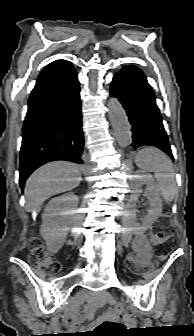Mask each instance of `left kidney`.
I'll use <instances>...</instances> for the list:
<instances>
[{
    "label": "left kidney",
    "mask_w": 194,
    "mask_h": 336,
    "mask_svg": "<svg viewBox=\"0 0 194 336\" xmlns=\"http://www.w3.org/2000/svg\"><path fill=\"white\" fill-rule=\"evenodd\" d=\"M136 173L137 174H135L132 178V195L129 198V205L131 208L135 207L138 194L141 193V186L145 184L146 197L150 203V209L148 210L147 216L143 219L142 224L135 222L134 226L137 230L146 231L161 215L162 202L159 197L158 186L152 175L142 171H137ZM131 217L133 220L136 219V213L134 210L131 211Z\"/></svg>",
    "instance_id": "left-kidney-1"
}]
</instances>
